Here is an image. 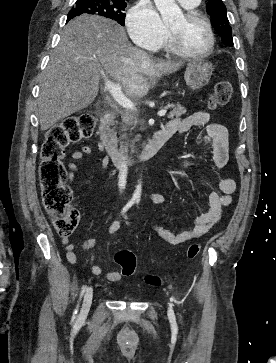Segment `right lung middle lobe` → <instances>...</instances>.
I'll return each mask as SVG.
<instances>
[{"label":"right lung middle lobe","instance_id":"dd1d6c3e","mask_svg":"<svg viewBox=\"0 0 276 363\" xmlns=\"http://www.w3.org/2000/svg\"><path fill=\"white\" fill-rule=\"evenodd\" d=\"M127 6L124 1L113 0H77L76 5L70 10L68 17L73 18L81 14L103 16L124 25L125 14L122 13Z\"/></svg>","mask_w":276,"mask_h":363}]
</instances>
